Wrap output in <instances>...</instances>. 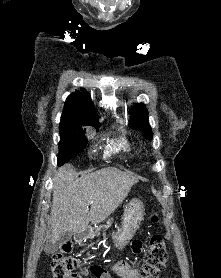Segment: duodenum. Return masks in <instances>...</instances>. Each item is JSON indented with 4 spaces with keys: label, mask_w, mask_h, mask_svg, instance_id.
<instances>
[{
    "label": "duodenum",
    "mask_w": 221,
    "mask_h": 278,
    "mask_svg": "<svg viewBox=\"0 0 221 278\" xmlns=\"http://www.w3.org/2000/svg\"><path fill=\"white\" fill-rule=\"evenodd\" d=\"M87 234H88V230H83V231H80L78 232L76 235H75V239L78 241V242H82L84 241V239L87 237Z\"/></svg>",
    "instance_id": "obj_1"
}]
</instances>
